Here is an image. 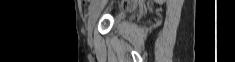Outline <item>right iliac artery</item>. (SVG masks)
<instances>
[{
  "instance_id": "right-iliac-artery-1",
  "label": "right iliac artery",
  "mask_w": 235,
  "mask_h": 62,
  "mask_svg": "<svg viewBox=\"0 0 235 62\" xmlns=\"http://www.w3.org/2000/svg\"><path fill=\"white\" fill-rule=\"evenodd\" d=\"M96 4H97V1H96V0H94V1L91 2V5H90V7H89V12H88V14H91V12H92L93 9L95 8Z\"/></svg>"
}]
</instances>
